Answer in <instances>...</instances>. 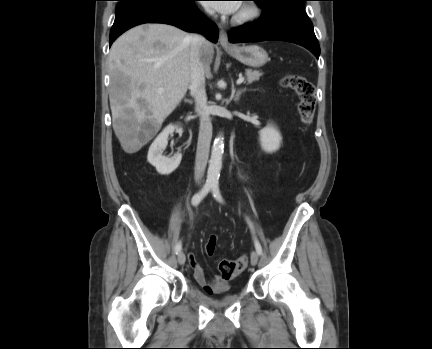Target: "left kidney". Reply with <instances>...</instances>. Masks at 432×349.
Here are the masks:
<instances>
[{
  "mask_svg": "<svg viewBox=\"0 0 432 349\" xmlns=\"http://www.w3.org/2000/svg\"><path fill=\"white\" fill-rule=\"evenodd\" d=\"M261 148L267 153H273L280 148L282 137L279 131L272 125L268 124L259 131Z\"/></svg>",
  "mask_w": 432,
  "mask_h": 349,
  "instance_id": "1",
  "label": "left kidney"
}]
</instances>
